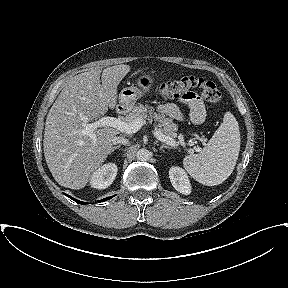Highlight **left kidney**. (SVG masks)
Here are the masks:
<instances>
[{"instance_id": "left-kidney-1", "label": "left kidney", "mask_w": 288, "mask_h": 288, "mask_svg": "<svg viewBox=\"0 0 288 288\" xmlns=\"http://www.w3.org/2000/svg\"><path fill=\"white\" fill-rule=\"evenodd\" d=\"M169 178L172 186L182 194H190L191 185L185 171L180 167H171L169 170Z\"/></svg>"}]
</instances>
